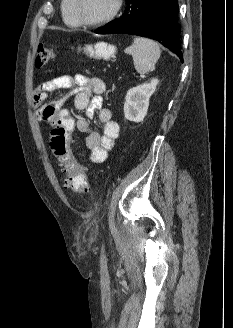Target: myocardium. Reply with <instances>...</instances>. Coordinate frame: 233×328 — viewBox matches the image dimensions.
Wrapping results in <instances>:
<instances>
[{
	"label": "myocardium",
	"mask_w": 233,
	"mask_h": 328,
	"mask_svg": "<svg viewBox=\"0 0 233 328\" xmlns=\"http://www.w3.org/2000/svg\"><path fill=\"white\" fill-rule=\"evenodd\" d=\"M80 1L81 0H74V14H75V17H76L79 25L86 26V27H98V26H102L106 23L111 22L119 15V13L121 12V10L123 8V4H124L123 0H115L114 8L109 15H107L105 18H103L101 20L91 22V21H86L81 16V12H80V3L81 2Z\"/></svg>",
	"instance_id": "obj_1"
}]
</instances>
